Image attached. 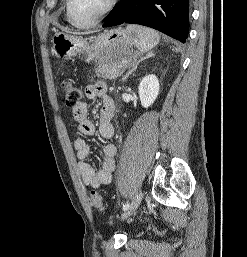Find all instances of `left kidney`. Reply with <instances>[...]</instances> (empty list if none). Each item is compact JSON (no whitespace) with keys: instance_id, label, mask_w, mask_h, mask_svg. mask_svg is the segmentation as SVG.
I'll return each instance as SVG.
<instances>
[{"instance_id":"left-kidney-1","label":"left kidney","mask_w":247,"mask_h":257,"mask_svg":"<svg viewBox=\"0 0 247 257\" xmlns=\"http://www.w3.org/2000/svg\"><path fill=\"white\" fill-rule=\"evenodd\" d=\"M159 87V80L153 74L147 75L141 80L138 93L144 108H148L154 103L159 94Z\"/></svg>"}]
</instances>
